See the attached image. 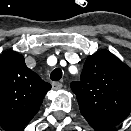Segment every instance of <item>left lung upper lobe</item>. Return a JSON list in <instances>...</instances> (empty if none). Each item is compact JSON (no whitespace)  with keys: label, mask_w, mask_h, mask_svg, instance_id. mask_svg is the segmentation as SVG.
Masks as SVG:
<instances>
[{"label":"left lung upper lobe","mask_w":131,"mask_h":131,"mask_svg":"<svg viewBox=\"0 0 131 131\" xmlns=\"http://www.w3.org/2000/svg\"><path fill=\"white\" fill-rule=\"evenodd\" d=\"M71 89L97 131L116 126L131 112V69L107 50L88 56L81 81L72 82Z\"/></svg>","instance_id":"5c2ea615"}]
</instances>
